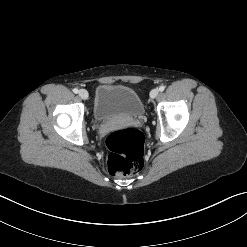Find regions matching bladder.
Masks as SVG:
<instances>
[{"instance_id": "1", "label": "bladder", "mask_w": 247, "mask_h": 247, "mask_svg": "<svg viewBox=\"0 0 247 247\" xmlns=\"http://www.w3.org/2000/svg\"><path fill=\"white\" fill-rule=\"evenodd\" d=\"M144 111L141 97L128 86L101 84L96 89L92 114L98 122L116 118H139Z\"/></svg>"}]
</instances>
